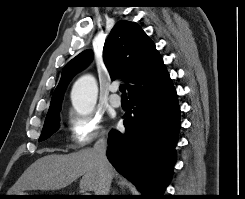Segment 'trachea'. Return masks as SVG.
Returning <instances> with one entry per match:
<instances>
[{
    "mask_svg": "<svg viewBox=\"0 0 245 199\" xmlns=\"http://www.w3.org/2000/svg\"><path fill=\"white\" fill-rule=\"evenodd\" d=\"M119 90H120V92L123 93V95H126V94H125V85H124V84H121V85H120Z\"/></svg>",
    "mask_w": 245,
    "mask_h": 199,
    "instance_id": "1",
    "label": "trachea"
}]
</instances>
